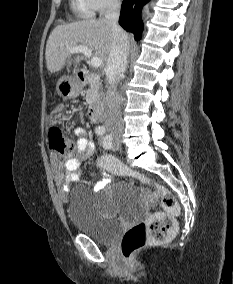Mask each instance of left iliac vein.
I'll use <instances>...</instances> for the list:
<instances>
[{
    "mask_svg": "<svg viewBox=\"0 0 233 284\" xmlns=\"http://www.w3.org/2000/svg\"><path fill=\"white\" fill-rule=\"evenodd\" d=\"M111 147L114 150H118L121 147V141L118 137H115L112 141H111Z\"/></svg>",
    "mask_w": 233,
    "mask_h": 284,
    "instance_id": "4c4485c4",
    "label": "left iliac vein"
}]
</instances>
